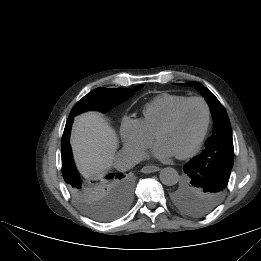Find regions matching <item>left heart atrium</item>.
<instances>
[{"instance_id": "39dd6f15", "label": "left heart atrium", "mask_w": 261, "mask_h": 261, "mask_svg": "<svg viewBox=\"0 0 261 261\" xmlns=\"http://www.w3.org/2000/svg\"><path fill=\"white\" fill-rule=\"evenodd\" d=\"M174 155H176L175 151L168 144L161 141L156 144L152 152V156L160 160L168 159Z\"/></svg>"}]
</instances>
